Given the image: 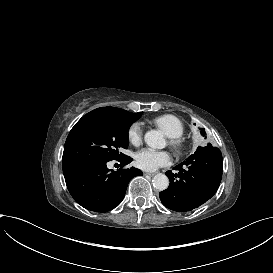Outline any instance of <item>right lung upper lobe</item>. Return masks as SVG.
Returning <instances> with one entry per match:
<instances>
[{"instance_id": "obj_1", "label": "right lung upper lobe", "mask_w": 273, "mask_h": 273, "mask_svg": "<svg viewBox=\"0 0 273 273\" xmlns=\"http://www.w3.org/2000/svg\"><path fill=\"white\" fill-rule=\"evenodd\" d=\"M94 111L108 114V115H112V116H116V117H118L124 121L130 122V123H134L142 115V112L130 113L126 110H123L120 108H115V107H101V108L95 109Z\"/></svg>"}]
</instances>
